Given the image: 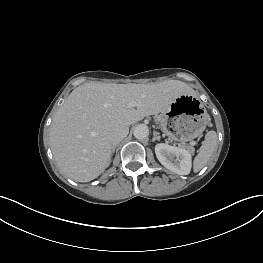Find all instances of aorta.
<instances>
[{"mask_svg":"<svg viewBox=\"0 0 263 263\" xmlns=\"http://www.w3.org/2000/svg\"><path fill=\"white\" fill-rule=\"evenodd\" d=\"M133 134L136 139L144 140L149 135V129L146 125L140 124L134 128Z\"/></svg>","mask_w":263,"mask_h":263,"instance_id":"762f6f07","label":"aorta"}]
</instances>
